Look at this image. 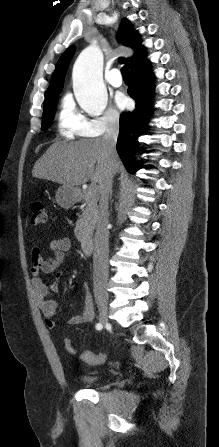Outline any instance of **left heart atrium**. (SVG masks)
I'll list each match as a JSON object with an SVG mask.
<instances>
[{
	"label": "left heart atrium",
	"mask_w": 219,
	"mask_h": 447,
	"mask_svg": "<svg viewBox=\"0 0 219 447\" xmlns=\"http://www.w3.org/2000/svg\"><path fill=\"white\" fill-rule=\"evenodd\" d=\"M116 104L120 109H124L128 106V99L123 94H118L116 96Z\"/></svg>",
	"instance_id": "1"
}]
</instances>
